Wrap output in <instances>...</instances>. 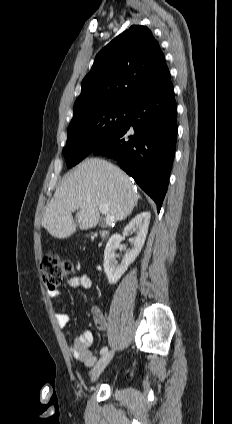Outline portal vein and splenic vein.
Here are the masks:
<instances>
[{"label":"portal vein and splenic vein","mask_w":232,"mask_h":424,"mask_svg":"<svg viewBox=\"0 0 232 424\" xmlns=\"http://www.w3.org/2000/svg\"><path fill=\"white\" fill-rule=\"evenodd\" d=\"M99 210L106 215V225L111 226L114 224L115 219L113 216L108 214V206L106 204H99Z\"/></svg>","instance_id":"18ae733b"}]
</instances>
